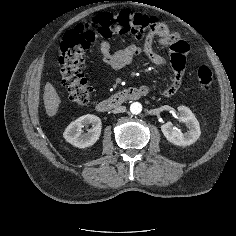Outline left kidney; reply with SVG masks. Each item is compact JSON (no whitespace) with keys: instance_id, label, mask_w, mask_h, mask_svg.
<instances>
[{"instance_id":"left-kidney-1","label":"left kidney","mask_w":236,"mask_h":236,"mask_svg":"<svg viewBox=\"0 0 236 236\" xmlns=\"http://www.w3.org/2000/svg\"><path fill=\"white\" fill-rule=\"evenodd\" d=\"M179 121L186 124L188 132L182 133L174 127L171 122H167L161 126L162 133L166 139L174 145L189 146L195 143L200 137L201 131L199 122L192 111L185 106H179Z\"/></svg>"}]
</instances>
